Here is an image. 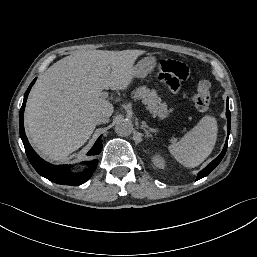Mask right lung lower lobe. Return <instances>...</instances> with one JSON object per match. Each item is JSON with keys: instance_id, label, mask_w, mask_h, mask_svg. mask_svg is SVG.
<instances>
[{"instance_id": "right-lung-lower-lobe-1", "label": "right lung lower lobe", "mask_w": 257, "mask_h": 257, "mask_svg": "<svg viewBox=\"0 0 257 257\" xmlns=\"http://www.w3.org/2000/svg\"><path fill=\"white\" fill-rule=\"evenodd\" d=\"M36 79L32 81L30 86L28 87L25 95H24V100L22 107L20 109V114H19V131H20V136L22 139V142L25 147V151L27 154V157L34 167V169L43 177L47 178L48 180L58 183V184H63V185H72V186H77L80 185L84 182H86L93 172L96 169L97 160H93L90 162H87V164H90L89 168L84 170L81 173H72L70 172L69 168L71 166L68 165H52L47 162H45L43 159H41L35 151L32 149L30 146L27 137L25 135V130H24V109L27 101V97L29 94V91L32 87V85L35 83ZM102 149V141H101V136L97 141L95 142L94 146L91 148V150L88 152V155H97L101 152Z\"/></svg>"}]
</instances>
